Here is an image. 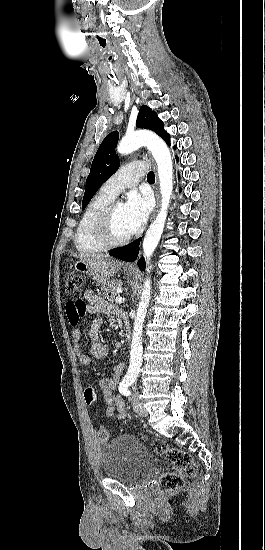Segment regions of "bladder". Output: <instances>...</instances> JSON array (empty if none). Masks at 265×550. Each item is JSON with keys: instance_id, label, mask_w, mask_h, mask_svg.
<instances>
[{"instance_id": "bladder-1", "label": "bladder", "mask_w": 265, "mask_h": 550, "mask_svg": "<svg viewBox=\"0 0 265 550\" xmlns=\"http://www.w3.org/2000/svg\"><path fill=\"white\" fill-rule=\"evenodd\" d=\"M103 474L129 485L147 480L157 466L156 456L134 435H120L101 447Z\"/></svg>"}]
</instances>
